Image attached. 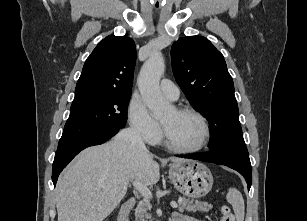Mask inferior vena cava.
<instances>
[{"mask_svg":"<svg viewBox=\"0 0 307 221\" xmlns=\"http://www.w3.org/2000/svg\"><path fill=\"white\" fill-rule=\"evenodd\" d=\"M115 138L118 141L130 143L132 146L141 150H146L142 135L135 127L126 128L120 131Z\"/></svg>","mask_w":307,"mask_h":221,"instance_id":"obj_1","label":"inferior vena cava"}]
</instances>
